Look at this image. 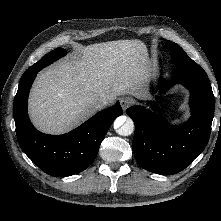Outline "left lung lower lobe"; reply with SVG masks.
I'll return each instance as SVG.
<instances>
[{
    "label": "left lung lower lobe",
    "mask_w": 221,
    "mask_h": 221,
    "mask_svg": "<svg viewBox=\"0 0 221 221\" xmlns=\"http://www.w3.org/2000/svg\"><path fill=\"white\" fill-rule=\"evenodd\" d=\"M176 83L190 91L191 118L173 126L141 106H132L126 113L133 119L132 142L137 162L157 174H176L185 169L206 147L214 115L215 100L207 74L195 62L178 65L175 79L160 78L166 92Z\"/></svg>",
    "instance_id": "1"
}]
</instances>
